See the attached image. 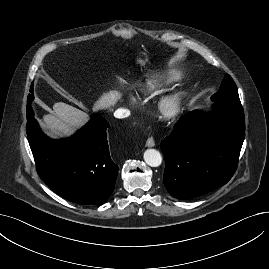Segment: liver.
Masks as SVG:
<instances>
[{
  "instance_id": "6515ba94",
  "label": "liver",
  "mask_w": 269,
  "mask_h": 269,
  "mask_svg": "<svg viewBox=\"0 0 269 269\" xmlns=\"http://www.w3.org/2000/svg\"><path fill=\"white\" fill-rule=\"evenodd\" d=\"M126 84L124 80L119 81ZM122 94L117 90L103 93L94 103L92 110L110 109L121 99ZM89 120L87 113L64 102L53 105V111L43 116V127L52 138L70 137Z\"/></svg>"
}]
</instances>
